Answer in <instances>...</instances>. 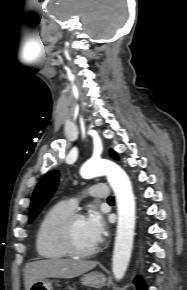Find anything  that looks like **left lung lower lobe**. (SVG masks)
I'll return each instance as SVG.
<instances>
[{"instance_id":"left-lung-lower-lobe-1","label":"left lung lower lobe","mask_w":187,"mask_h":290,"mask_svg":"<svg viewBox=\"0 0 187 290\" xmlns=\"http://www.w3.org/2000/svg\"><path fill=\"white\" fill-rule=\"evenodd\" d=\"M135 284L137 285L138 290H146L147 289L145 283L140 278L135 279Z\"/></svg>"}]
</instances>
